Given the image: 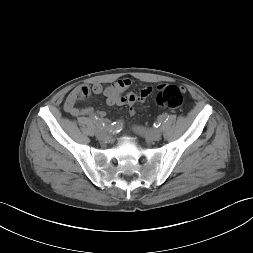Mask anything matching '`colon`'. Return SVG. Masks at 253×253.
Segmentation results:
<instances>
[{"label": "colon", "mask_w": 253, "mask_h": 253, "mask_svg": "<svg viewBox=\"0 0 253 253\" xmlns=\"http://www.w3.org/2000/svg\"><path fill=\"white\" fill-rule=\"evenodd\" d=\"M88 96L89 90L86 87H83L75 94L74 101L85 100ZM156 100L158 105L165 109L177 110L183 103L182 90L174 85L161 87Z\"/></svg>", "instance_id": "obj_1"}]
</instances>
